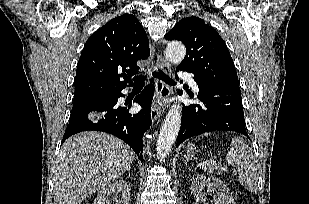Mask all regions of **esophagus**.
Returning <instances> with one entry per match:
<instances>
[{"mask_svg": "<svg viewBox=\"0 0 309 204\" xmlns=\"http://www.w3.org/2000/svg\"><path fill=\"white\" fill-rule=\"evenodd\" d=\"M157 65L158 67L167 74H171V68L169 63L161 56L157 55ZM171 94V88L162 82L160 79L156 78V93H155V103L151 109V119L155 122L157 118L161 115V108L157 104L160 100L167 99Z\"/></svg>", "mask_w": 309, "mask_h": 204, "instance_id": "1", "label": "esophagus"}]
</instances>
